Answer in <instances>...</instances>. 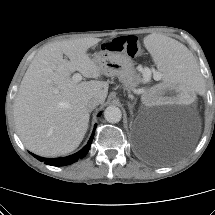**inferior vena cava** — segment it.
<instances>
[{"instance_id": "obj_1", "label": "inferior vena cava", "mask_w": 215, "mask_h": 215, "mask_svg": "<svg viewBox=\"0 0 215 215\" xmlns=\"http://www.w3.org/2000/svg\"><path fill=\"white\" fill-rule=\"evenodd\" d=\"M100 104V100L98 98H92L86 103V107L88 110L92 111L94 108H96Z\"/></svg>"}]
</instances>
